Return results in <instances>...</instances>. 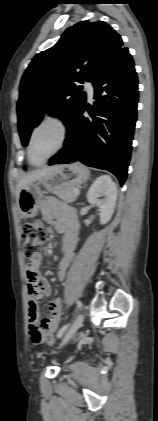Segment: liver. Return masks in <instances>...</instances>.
<instances>
[{
  "label": "liver",
  "instance_id": "liver-1",
  "mask_svg": "<svg viewBox=\"0 0 158 421\" xmlns=\"http://www.w3.org/2000/svg\"><path fill=\"white\" fill-rule=\"evenodd\" d=\"M58 167L59 166H50V167L41 168L33 172H30L29 174L24 176L17 185V199H18L21 188L25 184L40 180L41 178H43L44 176H46L47 174H49L50 172H52Z\"/></svg>",
  "mask_w": 158,
  "mask_h": 421
}]
</instances>
